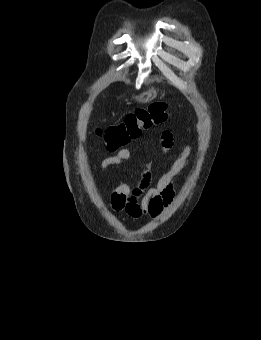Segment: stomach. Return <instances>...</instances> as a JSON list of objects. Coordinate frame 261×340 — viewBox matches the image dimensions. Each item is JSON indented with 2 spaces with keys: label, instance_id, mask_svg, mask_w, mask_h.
I'll use <instances>...</instances> for the list:
<instances>
[{
  "label": "stomach",
  "instance_id": "obj_1",
  "mask_svg": "<svg viewBox=\"0 0 261 340\" xmlns=\"http://www.w3.org/2000/svg\"><path fill=\"white\" fill-rule=\"evenodd\" d=\"M157 96V92L151 88L147 92L133 96L132 99L137 103H147L152 101Z\"/></svg>",
  "mask_w": 261,
  "mask_h": 340
}]
</instances>
